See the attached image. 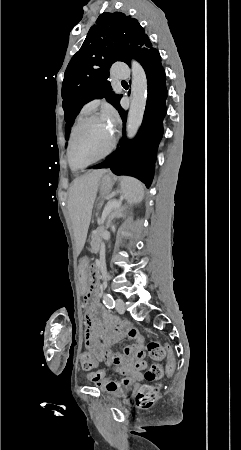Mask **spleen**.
Masks as SVG:
<instances>
[{"label": "spleen", "instance_id": "obj_1", "mask_svg": "<svg viewBox=\"0 0 241 450\" xmlns=\"http://www.w3.org/2000/svg\"><path fill=\"white\" fill-rule=\"evenodd\" d=\"M121 192L128 204H139L144 196V186L135 178H121Z\"/></svg>", "mask_w": 241, "mask_h": 450}]
</instances>
